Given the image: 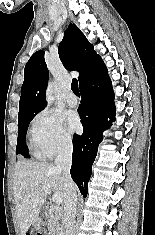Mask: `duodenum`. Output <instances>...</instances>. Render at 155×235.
Instances as JSON below:
<instances>
[{
  "instance_id": "410a0bca",
  "label": "duodenum",
  "mask_w": 155,
  "mask_h": 235,
  "mask_svg": "<svg viewBox=\"0 0 155 235\" xmlns=\"http://www.w3.org/2000/svg\"><path fill=\"white\" fill-rule=\"evenodd\" d=\"M61 210L55 207L46 206L44 209V214L50 216L51 214H59Z\"/></svg>"
}]
</instances>
